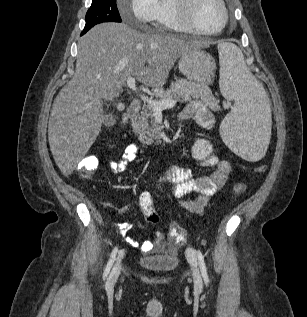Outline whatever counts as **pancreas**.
Instances as JSON below:
<instances>
[{
	"label": "pancreas",
	"instance_id": "cf45deb5",
	"mask_svg": "<svg viewBox=\"0 0 307 317\" xmlns=\"http://www.w3.org/2000/svg\"><path fill=\"white\" fill-rule=\"evenodd\" d=\"M208 88L199 82L179 79L171 83L166 91L158 88L155 95L159 101L173 99L180 102H189L195 98L204 99L209 93ZM215 104V103H213ZM132 127L142 143L151 144L160 139V129L154 119V110L149 105H143L141 112L132 117Z\"/></svg>",
	"mask_w": 307,
	"mask_h": 317
}]
</instances>
